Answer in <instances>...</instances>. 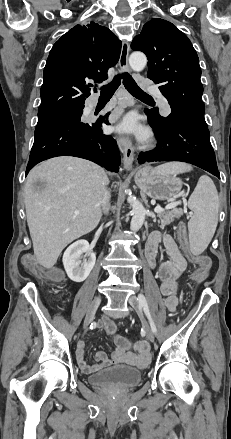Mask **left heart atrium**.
Instances as JSON below:
<instances>
[{"label":"left heart atrium","instance_id":"left-heart-atrium-1","mask_svg":"<svg viewBox=\"0 0 231 439\" xmlns=\"http://www.w3.org/2000/svg\"><path fill=\"white\" fill-rule=\"evenodd\" d=\"M116 129L120 132L136 133L141 138L146 135L145 131L138 125L135 116L132 114L125 116L117 125Z\"/></svg>","mask_w":231,"mask_h":439}]
</instances>
